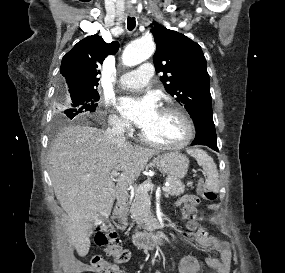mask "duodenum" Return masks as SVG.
I'll list each match as a JSON object with an SVG mask.
<instances>
[{
	"instance_id": "obj_1",
	"label": "duodenum",
	"mask_w": 285,
	"mask_h": 273,
	"mask_svg": "<svg viewBox=\"0 0 285 273\" xmlns=\"http://www.w3.org/2000/svg\"><path fill=\"white\" fill-rule=\"evenodd\" d=\"M125 212V203L123 199H120L117 203L114 212V221L119 225L124 223L123 215ZM166 237L163 233H147V232H137L134 234L132 241L133 243L144 249H156L165 243Z\"/></svg>"
}]
</instances>
